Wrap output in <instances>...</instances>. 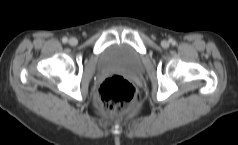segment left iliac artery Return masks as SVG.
<instances>
[{
    "mask_svg": "<svg viewBox=\"0 0 238 145\" xmlns=\"http://www.w3.org/2000/svg\"><path fill=\"white\" fill-rule=\"evenodd\" d=\"M170 42H171L172 45H175V44H176V41L173 40V39H171Z\"/></svg>",
    "mask_w": 238,
    "mask_h": 145,
    "instance_id": "1",
    "label": "left iliac artery"
}]
</instances>
